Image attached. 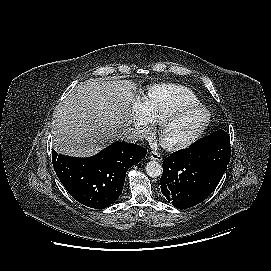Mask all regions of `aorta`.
I'll use <instances>...</instances> for the list:
<instances>
[{
  "instance_id": "762f6f07",
  "label": "aorta",
  "mask_w": 271,
  "mask_h": 271,
  "mask_svg": "<svg viewBox=\"0 0 271 271\" xmlns=\"http://www.w3.org/2000/svg\"><path fill=\"white\" fill-rule=\"evenodd\" d=\"M163 172L162 169V165L153 160V161H149L146 165V173L148 174V176L152 177V178H156L159 177Z\"/></svg>"
}]
</instances>
